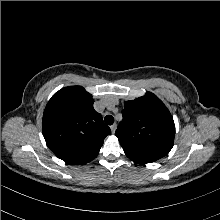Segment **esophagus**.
<instances>
[{"instance_id": "1", "label": "esophagus", "mask_w": 220, "mask_h": 220, "mask_svg": "<svg viewBox=\"0 0 220 220\" xmlns=\"http://www.w3.org/2000/svg\"><path fill=\"white\" fill-rule=\"evenodd\" d=\"M116 128H117L116 124H113V125L110 126V129H111L112 133L115 132Z\"/></svg>"}]
</instances>
